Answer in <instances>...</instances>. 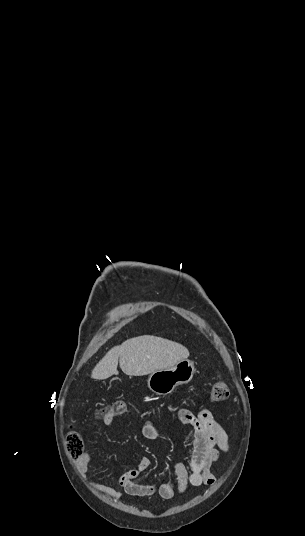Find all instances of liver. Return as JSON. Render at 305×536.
<instances>
[{"label":"liver","instance_id":"1","mask_svg":"<svg viewBox=\"0 0 305 536\" xmlns=\"http://www.w3.org/2000/svg\"><path fill=\"white\" fill-rule=\"evenodd\" d=\"M187 348L156 336H138L111 348L92 370L93 380L117 376L119 366L126 376H147L156 370H167L181 360H187Z\"/></svg>","mask_w":305,"mask_h":536}]
</instances>
